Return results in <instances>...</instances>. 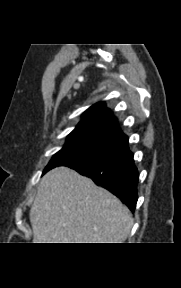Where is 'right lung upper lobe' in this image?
<instances>
[{"label": "right lung upper lobe", "instance_id": "cb5924a9", "mask_svg": "<svg viewBox=\"0 0 181 288\" xmlns=\"http://www.w3.org/2000/svg\"><path fill=\"white\" fill-rule=\"evenodd\" d=\"M68 140L82 141L109 150L113 156L129 151L127 136L118 129L116 118L101 102L84 113L82 121L68 135Z\"/></svg>", "mask_w": 181, "mask_h": 288}]
</instances>
